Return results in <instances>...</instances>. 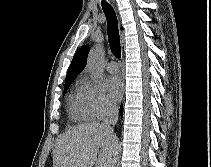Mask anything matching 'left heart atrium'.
I'll return each mask as SVG.
<instances>
[{"instance_id": "obj_1", "label": "left heart atrium", "mask_w": 211, "mask_h": 167, "mask_svg": "<svg viewBox=\"0 0 211 167\" xmlns=\"http://www.w3.org/2000/svg\"><path fill=\"white\" fill-rule=\"evenodd\" d=\"M104 88L108 98L112 102H116L123 94L124 84L119 77L112 76L105 80Z\"/></svg>"}]
</instances>
